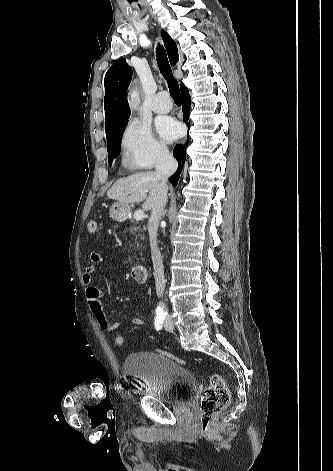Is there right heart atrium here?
Listing matches in <instances>:
<instances>
[{
  "label": "right heart atrium",
  "instance_id": "obj_1",
  "mask_svg": "<svg viewBox=\"0 0 333 471\" xmlns=\"http://www.w3.org/2000/svg\"><path fill=\"white\" fill-rule=\"evenodd\" d=\"M120 145L123 163L132 169H151L170 157L168 149L151 128L135 119L126 124Z\"/></svg>",
  "mask_w": 333,
  "mask_h": 471
}]
</instances>
